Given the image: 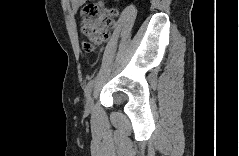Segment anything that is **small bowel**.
Returning <instances> with one entry per match:
<instances>
[{
  "instance_id": "obj_1",
  "label": "small bowel",
  "mask_w": 239,
  "mask_h": 156,
  "mask_svg": "<svg viewBox=\"0 0 239 156\" xmlns=\"http://www.w3.org/2000/svg\"><path fill=\"white\" fill-rule=\"evenodd\" d=\"M82 2H83L82 0H73L70 2V8L75 11L82 4Z\"/></svg>"
}]
</instances>
